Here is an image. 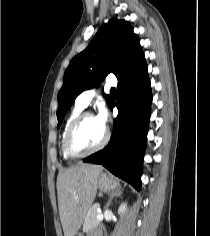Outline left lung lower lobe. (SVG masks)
Instances as JSON below:
<instances>
[{"label": "left lung lower lobe", "instance_id": "obj_1", "mask_svg": "<svg viewBox=\"0 0 210 236\" xmlns=\"http://www.w3.org/2000/svg\"><path fill=\"white\" fill-rule=\"evenodd\" d=\"M151 103L145 61L130 76L118 81V99L109 105L111 109L118 108L112 138L103 150L85 158L84 162L101 164L140 190Z\"/></svg>", "mask_w": 210, "mask_h": 236}]
</instances>
